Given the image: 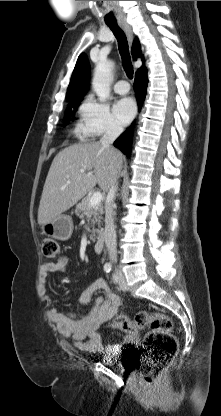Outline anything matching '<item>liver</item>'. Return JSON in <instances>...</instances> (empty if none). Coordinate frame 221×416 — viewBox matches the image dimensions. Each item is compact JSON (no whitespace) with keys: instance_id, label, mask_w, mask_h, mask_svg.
I'll use <instances>...</instances> for the list:
<instances>
[{"instance_id":"6515ba94","label":"liver","mask_w":221,"mask_h":416,"mask_svg":"<svg viewBox=\"0 0 221 416\" xmlns=\"http://www.w3.org/2000/svg\"><path fill=\"white\" fill-rule=\"evenodd\" d=\"M122 163L123 156L118 150L112 155L100 142L73 144L61 150L52 161L43 187L39 225L70 209L96 184L107 192Z\"/></svg>"}]
</instances>
